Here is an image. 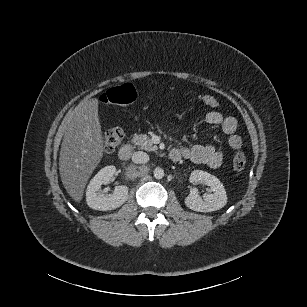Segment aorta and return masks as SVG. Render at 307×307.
<instances>
[{
    "mask_svg": "<svg viewBox=\"0 0 307 307\" xmlns=\"http://www.w3.org/2000/svg\"><path fill=\"white\" fill-rule=\"evenodd\" d=\"M153 174H154V177L156 178V179H162L163 177H164V170L162 169V168H160V167H156L155 169H154V172H153Z\"/></svg>",
    "mask_w": 307,
    "mask_h": 307,
    "instance_id": "762f6f07",
    "label": "aorta"
}]
</instances>
